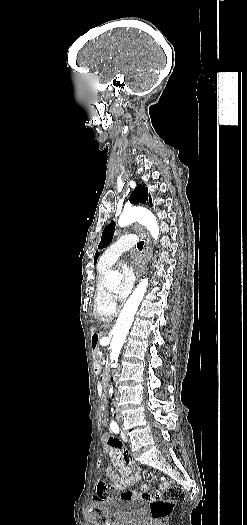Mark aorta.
<instances>
[{"label":"aorta","mask_w":247,"mask_h":525,"mask_svg":"<svg viewBox=\"0 0 247 525\" xmlns=\"http://www.w3.org/2000/svg\"><path fill=\"white\" fill-rule=\"evenodd\" d=\"M138 222L145 226L150 232L151 236L156 240L159 237V226L154 214L149 210L141 207H133L123 210L119 217L118 224L125 227L133 222ZM121 279L117 271H109L105 276V282L108 286L119 283ZM148 285V279H142L127 300L124 308L118 316L115 327L113 328V337L110 343V365L112 368L117 367L118 357L122 346L125 342L127 333L134 320L135 313L140 305ZM113 388L109 389V394L112 395ZM113 412V408L111 409Z\"/></svg>","instance_id":"obj_1"}]
</instances>
